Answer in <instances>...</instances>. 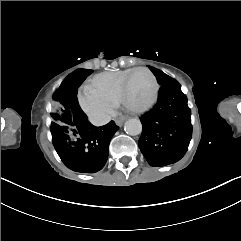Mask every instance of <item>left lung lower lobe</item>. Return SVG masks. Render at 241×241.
<instances>
[{
    "label": "left lung lower lobe",
    "mask_w": 241,
    "mask_h": 241,
    "mask_svg": "<svg viewBox=\"0 0 241 241\" xmlns=\"http://www.w3.org/2000/svg\"><path fill=\"white\" fill-rule=\"evenodd\" d=\"M187 98L175 80L162 85L155 107L143 115L139 148L151 166L160 167L180 160L192 135Z\"/></svg>",
    "instance_id": "0a47b994"
}]
</instances>
